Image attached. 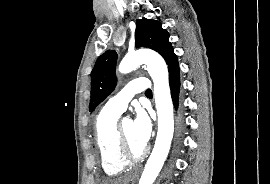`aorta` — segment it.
Wrapping results in <instances>:
<instances>
[{"instance_id":"aorta-1","label":"aorta","mask_w":270,"mask_h":184,"mask_svg":"<svg viewBox=\"0 0 270 184\" xmlns=\"http://www.w3.org/2000/svg\"><path fill=\"white\" fill-rule=\"evenodd\" d=\"M146 64L154 83V97L158 115V132L153 151L145 165L139 184H153L170 150L174 132L173 104L170 95L168 68L164 59L154 51L127 54L119 65L121 73H129Z\"/></svg>"}]
</instances>
